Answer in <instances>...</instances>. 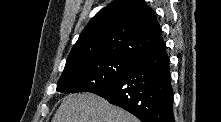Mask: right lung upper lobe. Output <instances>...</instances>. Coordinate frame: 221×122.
<instances>
[{"label":"right lung upper lobe","mask_w":221,"mask_h":122,"mask_svg":"<svg viewBox=\"0 0 221 122\" xmlns=\"http://www.w3.org/2000/svg\"><path fill=\"white\" fill-rule=\"evenodd\" d=\"M161 40L155 13L144 1L115 0L84 28L65 69L103 56L135 59Z\"/></svg>","instance_id":"obj_1"}]
</instances>
